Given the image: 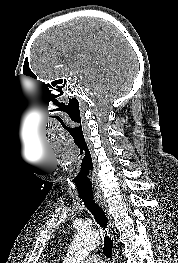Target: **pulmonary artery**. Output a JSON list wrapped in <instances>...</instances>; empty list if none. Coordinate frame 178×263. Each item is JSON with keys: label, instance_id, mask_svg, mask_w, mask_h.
I'll list each match as a JSON object with an SVG mask.
<instances>
[{"label": "pulmonary artery", "instance_id": "e3ab8cb5", "mask_svg": "<svg viewBox=\"0 0 178 263\" xmlns=\"http://www.w3.org/2000/svg\"><path fill=\"white\" fill-rule=\"evenodd\" d=\"M85 263H103V260L99 255L91 254L86 258Z\"/></svg>", "mask_w": 178, "mask_h": 263}]
</instances>
